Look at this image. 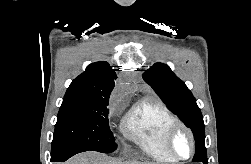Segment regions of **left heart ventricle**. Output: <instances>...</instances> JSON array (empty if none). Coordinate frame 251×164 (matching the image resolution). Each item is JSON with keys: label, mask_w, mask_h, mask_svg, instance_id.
I'll return each instance as SVG.
<instances>
[{"label": "left heart ventricle", "mask_w": 251, "mask_h": 164, "mask_svg": "<svg viewBox=\"0 0 251 164\" xmlns=\"http://www.w3.org/2000/svg\"><path fill=\"white\" fill-rule=\"evenodd\" d=\"M172 148L175 154L185 157L190 153V141L187 135L180 131L172 142Z\"/></svg>", "instance_id": "b2bd125f"}]
</instances>
